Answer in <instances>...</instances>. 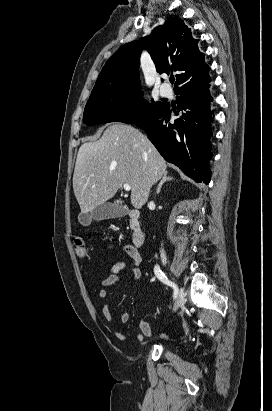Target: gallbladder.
Returning a JSON list of instances; mask_svg holds the SVG:
<instances>
[{
  "label": "gallbladder",
  "mask_w": 272,
  "mask_h": 411,
  "mask_svg": "<svg viewBox=\"0 0 272 411\" xmlns=\"http://www.w3.org/2000/svg\"><path fill=\"white\" fill-rule=\"evenodd\" d=\"M127 212V206H124L121 200H116L114 203L105 202L97 206L89 214H80L78 220L81 225L88 226L92 219L95 221L115 219L125 216Z\"/></svg>",
  "instance_id": "bac80fb5"
}]
</instances>
